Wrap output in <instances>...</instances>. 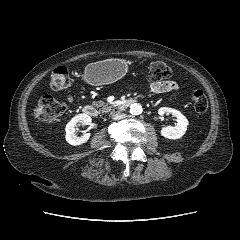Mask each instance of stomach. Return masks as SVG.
<instances>
[{
    "label": "stomach",
    "mask_w": 240,
    "mask_h": 240,
    "mask_svg": "<svg viewBox=\"0 0 240 240\" xmlns=\"http://www.w3.org/2000/svg\"><path fill=\"white\" fill-rule=\"evenodd\" d=\"M126 64L118 59H106L85 67L84 78L92 85L113 83L124 76Z\"/></svg>",
    "instance_id": "obj_1"
}]
</instances>
